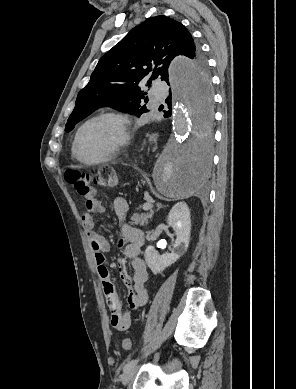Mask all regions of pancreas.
<instances>
[{
	"instance_id": "pancreas-1",
	"label": "pancreas",
	"mask_w": 296,
	"mask_h": 389,
	"mask_svg": "<svg viewBox=\"0 0 296 389\" xmlns=\"http://www.w3.org/2000/svg\"><path fill=\"white\" fill-rule=\"evenodd\" d=\"M153 213L150 211L149 213L139 214L135 213L131 217V225L137 226H143L144 224L148 223V219L152 217Z\"/></svg>"
}]
</instances>
